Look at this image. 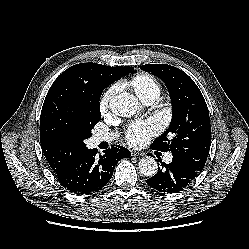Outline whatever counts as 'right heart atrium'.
I'll return each mask as SVG.
<instances>
[{
    "instance_id": "obj_1",
    "label": "right heart atrium",
    "mask_w": 249,
    "mask_h": 249,
    "mask_svg": "<svg viewBox=\"0 0 249 249\" xmlns=\"http://www.w3.org/2000/svg\"><path fill=\"white\" fill-rule=\"evenodd\" d=\"M117 86L112 85L109 88H107L103 94L101 95L99 99V112L102 116H106L110 112V103L115 94L117 93Z\"/></svg>"
}]
</instances>
